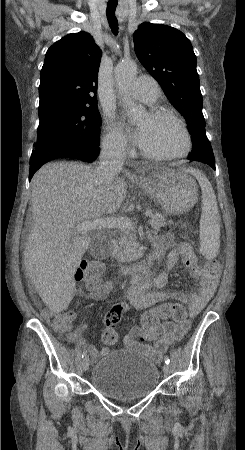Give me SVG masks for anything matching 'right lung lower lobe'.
<instances>
[{"mask_svg":"<svg viewBox=\"0 0 245 450\" xmlns=\"http://www.w3.org/2000/svg\"><path fill=\"white\" fill-rule=\"evenodd\" d=\"M99 153V147L94 149H78L68 150L55 153H42L36 157L30 159L29 181L33 177L34 173L41 167L42 164L56 158L70 157L76 158L82 161L91 162L96 159Z\"/></svg>","mask_w":245,"mask_h":450,"instance_id":"right-lung-lower-lobe-1","label":"right lung lower lobe"}]
</instances>
